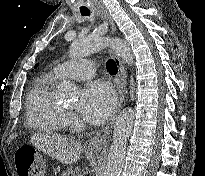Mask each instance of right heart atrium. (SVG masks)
I'll return each instance as SVG.
<instances>
[{"label": "right heart atrium", "mask_w": 205, "mask_h": 176, "mask_svg": "<svg viewBox=\"0 0 205 176\" xmlns=\"http://www.w3.org/2000/svg\"><path fill=\"white\" fill-rule=\"evenodd\" d=\"M66 120L67 121H74L75 116L71 112H66Z\"/></svg>", "instance_id": "d8ad5b80"}]
</instances>
